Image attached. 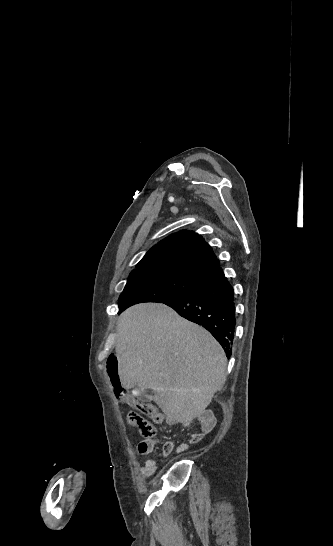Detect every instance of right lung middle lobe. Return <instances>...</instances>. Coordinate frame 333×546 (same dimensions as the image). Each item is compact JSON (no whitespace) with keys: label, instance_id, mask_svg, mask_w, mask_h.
<instances>
[{"label":"right lung middle lobe","instance_id":"1","mask_svg":"<svg viewBox=\"0 0 333 546\" xmlns=\"http://www.w3.org/2000/svg\"><path fill=\"white\" fill-rule=\"evenodd\" d=\"M201 280L169 273H141L130 275L119 298V312L140 302H162L187 293Z\"/></svg>","mask_w":333,"mask_h":546}]
</instances>
